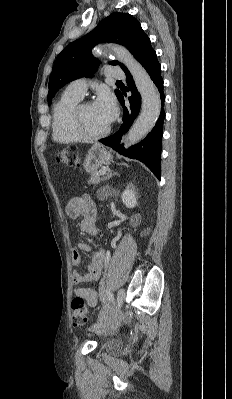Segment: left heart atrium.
I'll return each mask as SVG.
<instances>
[{
  "label": "left heart atrium",
  "instance_id": "1",
  "mask_svg": "<svg viewBox=\"0 0 232 399\" xmlns=\"http://www.w3.org/2000/svg\"><path fill=\"white\" fill-rule=\"evenodd\" d=\"M93 108L108 125H111L117 117V106L113 97L108 94L100 97L93 104Z\"/></svg>",
  "mask_w": 232,
  "mask_h": 399
}]
</instances>
